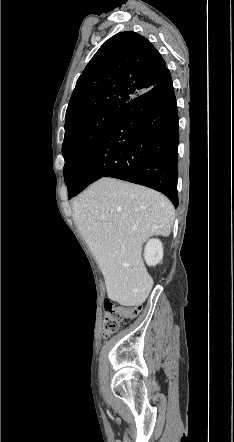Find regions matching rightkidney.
<instances>
[{
	"label": "right kidney",
	"mask_w": 234,
	"mask_h": 442,
	"mask_svg": "<svg viewBox=\"0 0 234 442\" xmlns=\"http://www.w3.org/2000/svg\"><path fill=\"white\" fill-rule=\"evenodd\" d=\"M144 258L149 266H155L163 259V246L160 240L150 239L144 250Z\"/></svg>",
	"instance_id": "right-kidney-1"
}]
</instances>
